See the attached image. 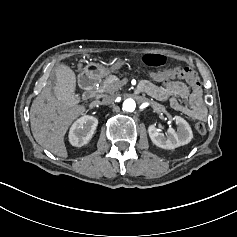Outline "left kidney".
<instances>
[{
  "instance_id": "left-kidney-1",
  "label": "left kidney",
  "mask_w": 237,
  "mask_h": 237,
  "mask_svg": "<svg viewBox=\"0 0 237 237\" xmlns=\"http://www.w3.org/2000/svg\"><path fill=\"white\" fill-rule=\"evenodd\" d=\"M174 119L177 130L169 128L166 135L158 131L156 124L148 126L149 137L153 144L163 149H175L191 141L193 135L189 124L179 116H175Z\"/></svg>"
}]
</instances>
